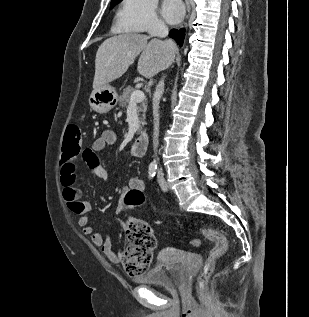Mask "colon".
Segmentation results:
<instances>
[{
	"instance_id": "5ec220e1",
	"label": "colon",
	"mask_w": 309,
	"mask_h": 317,
	"mask_svg": "<svg viewBox=\"0 0 309 317\" xmlns=\"http://www.w3.org/2000/svg\"><path fill=\"white\" fill-rule=\"evenodd\" d=\"M82 152V135L77 125H69L65 132L62 149V166L72 162ZM143 192L132 190L125 196L127 207L140 206L144 203ZM199 233L213 244L209 255L204 262L197 279V293L200 299L207 297V285L214 270L216 260L227 250L226 237L219 231L209 228L199 229ZM125 245L121 252V261L130 275H139L149 268L153 252L156 247V238L151 226L141 220L130 221L124 232ZM192 246H199L200 240L193 239Z\"/></svg>"
}]
</instances>
